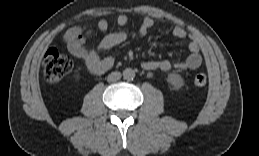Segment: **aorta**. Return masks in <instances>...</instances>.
<instances>
[{
  "label": "aorta",
  "mask_w": 259,
  "mask_h": 156,
  "mask_svg": "<svg viewBox=\"0 0 259 156\" xmlns=\"http://www.w3.org/2000/svg\"><path fill=\"white\" fill-rule=\"evenodd\" d=\"M123 77L126 80H133L134 77H135V71L133 69H131V68H126L123 71Z\"/></svg>",
  "instance_id": "762f6f07"
}]
</instances>
